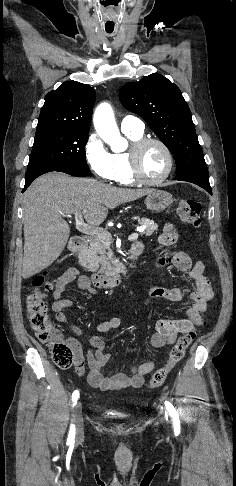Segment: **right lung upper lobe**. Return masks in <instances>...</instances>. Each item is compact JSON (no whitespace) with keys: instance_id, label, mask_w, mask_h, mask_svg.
I'll return each mask as SVG.
<instances>
[{"instance_id":"obj_1","label":"right lung upper lobe","mask_w":236,"mask_h":486,"mask_svg":"<svg viewBox=\"0 0 236 486\" xmlns=\"http://www.w3.org/2000/svg\"><path fill=\"white\" fill-rule=\"evenodd\" d=\"M96 99L93 88L77 81H66L47 93L37 129L58 128L89 132Z\"/></svg>"}]
</instances>
